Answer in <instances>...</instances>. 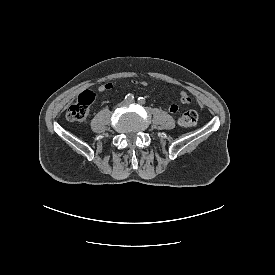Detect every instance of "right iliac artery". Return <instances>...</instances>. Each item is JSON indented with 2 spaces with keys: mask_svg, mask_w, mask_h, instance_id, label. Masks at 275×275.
<instances>
[{
  "mask_svg": "<svg viewBox=\"0 0 275 275\" xmlns=\"http://www.w3.org/2000/svg\"><path fill=\"white\" fill-rule=\"evenodd\" d=\"M133 99H134V96H133L132 94H127V95L125 96V100H126L127 102H132Z\"/></svg>",
  "mask_w": 275,
  "mask_h": 275,
  "instance_id": "right-iliac-artery-1",
  "label": "right iliac artery"
}]
</instances>
